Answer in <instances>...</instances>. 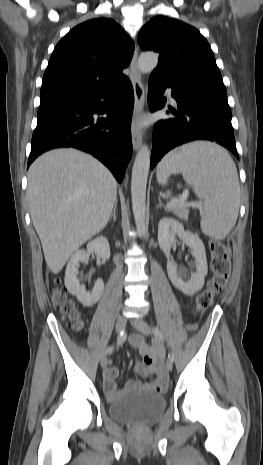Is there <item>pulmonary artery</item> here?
I'll return each mask as SVG.
<instances>
[{"label":"pulmonary artery","mask_w":263,"mask_h":465,"mask_svg":"<svg viewBox=\"0 0 263 465\" xmlns=\"http://www.w3.org/2000/svg\"><path fill=\"white\" fill-rule=\"evenodd\" d=\"M166 94H167L169 100H170L173 104H176V100H175L174 97L172 96L171 91H170V90H167V91H166Z\"/></svg>","instance_id":"1"}]
</instances>
